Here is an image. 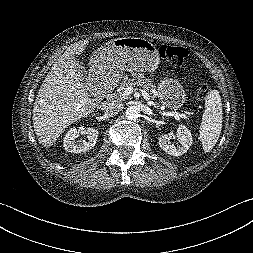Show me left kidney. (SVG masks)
<instances>
[{
  "mask_svg": "<svg viewBox=\"0 0 253 253\" xmlns=\"http://www.w3.org/2000/svg\"><path fill=\"white\" fill-rule=\"evenodd\" d=\"M170 135L164 134L159 138V145L162 150L167 154L173 156H181L187 152L193 143V138L190 130L186 126H179L176 131V138L180 143V146L175 147L174 144L170 143Z\"/></svg>",
  "mask_w": 253,
  "mask_h": 253,
  "instance_id": "5707ae66",
  "label": "left kidney"
}]
</instances>
